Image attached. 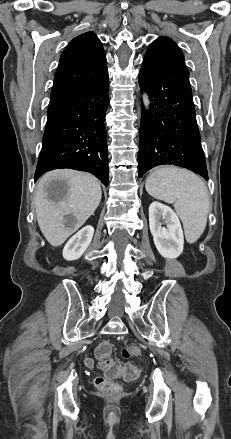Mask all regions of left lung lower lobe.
I'll return each instance as SVG.
<instances>
[{
	"label": "left lung lower lobe",
	"instance_id": "left-lung-lower-lobe-1",
	"mask_svg": "<svg viewBox=\"0 0 231 439\" xmlns=\"http://www.w3.org/2000/svg\"><path fill=\"white\" fill-rule=\"evenodd\" d=\"M139 84L151 101L150 111L143 109L140 126L139 176L155 166L170 164L208 180L189 74L165 53L149 47Z\"/></svg>",
	"mask_w": 231,
	"mask_h": 439
}]
</instances>
